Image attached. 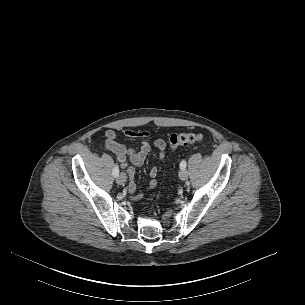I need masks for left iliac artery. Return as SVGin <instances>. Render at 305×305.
<instances>
[{
  "mask_svg": "<svg viewBox=\"0 0 305 305\" xmlns=\"http://www.w3.org/2000/svg\"><path fill=\"white\" fill-rule=\"evenodd\" d=\"M186 165H187V164H186V161H185V160H182L181 163H180V168H181V169H184V168H186Z\"/></svg>",
  "mask_w": 305,
  "mask_h": 305,
  "instance_id": "44dca946",
  "label": "left iliac artery"
}]
</instances>
